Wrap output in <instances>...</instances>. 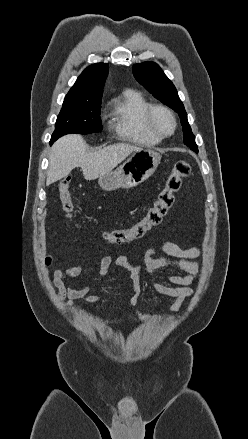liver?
<instances>
[{"instance_id": "liver-1", "label": "liver", "mask_w": 248, "mask_h": 439, "mask_svg": "<svg viewBox=\"0 0 248 439\" xmlns=\"http://www.w3.org/2000/svg\"><path fill=\"white\" fill-rule=\"evenodd\" d=\"M141 147L117 143L98 151H87V145L80 135H67L57 140L51 149L46 185H50L81 167L86 180L97 179L111 172L132 152Z\"/></svg>"}]
</instances>
